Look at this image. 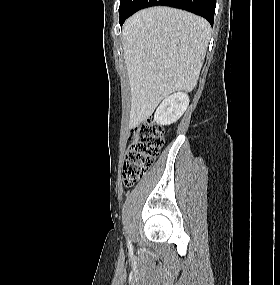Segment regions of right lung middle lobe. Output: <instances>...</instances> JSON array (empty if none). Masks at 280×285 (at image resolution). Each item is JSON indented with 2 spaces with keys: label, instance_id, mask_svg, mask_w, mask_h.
<instances>
[{
  "label": "right lung middle lobe",
  "instance_id": "dd1d6c3e",
  "mask_svg": "<svg viewBox=\"0 0 280 285\" xmlns=\"http://www.w3.org/2000/svg\"><path fill=\"white\" fill-rule=\"evenodd\" d=\"M138 0H121L119 7L120 18L124 19L130 15Z\"/></svg>",
  "mask_w": 280,
  "mask_h": 285
}]
</instances>
